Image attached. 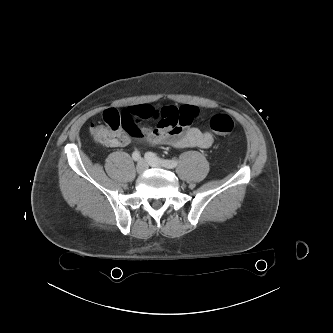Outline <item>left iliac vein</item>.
I'll return each instance as SVG.
<instances>
[{
	"label": "left iliac vein",
	"instance_id": "1",
	"mask_svg": "<svg viewBox=\"0 0 333 333\" xmlns=\"http://www.w3.org/2000/svg\"><path fill=\"white\" fill-rule=\"evenodd\" d=\"M146 162L152 167H166L155 155L147 157Z\"/></svg>",
	"mask_w": 333,
	"mask_h": 333
}]
</instances>
